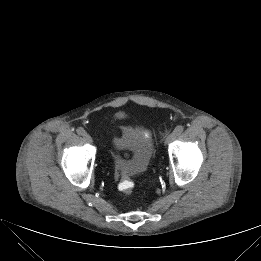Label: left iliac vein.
Instances as JSON below:
<instances>
[{"instance_id": "1", "label": "left iliac vein", "mask_w": 261, "mask_h": 261, "mask_svg": "<svg viewBox=\"0 0 261 261\" xmlns=\"http://www.w3.org/2000/svg\"><path fill=\"white\" fill-rule=\"evenodd\" d=\"M178 135L175 132L170 133L166 138H165V144H169L172 142Z\"/></svg>"}]
</instances>
